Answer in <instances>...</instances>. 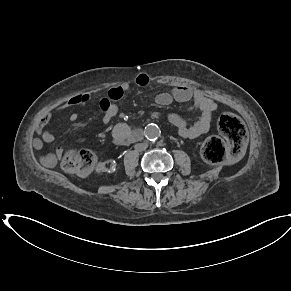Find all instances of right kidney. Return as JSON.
Wrapping results in <instances>:
<instances>
[{"instance_id":"ca27d5eb","label":"right kidney","mask_w":291,"mask_h":291,"mask_svg":"<svg viewBox=\"0 0 291 291\" xmlns=\"http://www.w3.org/2000/svg\"><path fill=\"white\" fill-rule=\"evenodd\" d=\"M96 171L97 172H104V171H106L105 163H103V162L98 163V165L96 167Z\"/></svg>"}]
</instances>
